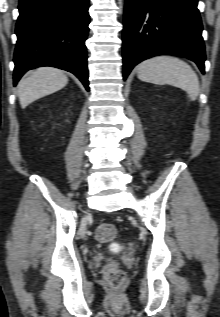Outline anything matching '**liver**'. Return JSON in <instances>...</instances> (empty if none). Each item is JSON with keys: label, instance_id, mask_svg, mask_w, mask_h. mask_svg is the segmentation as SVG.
I'll return each instance as SVG.
<instances>
[{"label": "liver", "instance_id": "liver-1", "mask_svg": "<svg viewBox=\"0 0 220 317\" xmlns=\"http://www.w3.org/2000/svg\"><path fill=\"white\" fill-rule=\"evenodd\" d=\"M68 83L65 73L53 67L35 69L18 84V97L22 108L30 103L50 95Z\"/></svg>", "mask_w": 220, "mask_h": 317}]
</instances>
